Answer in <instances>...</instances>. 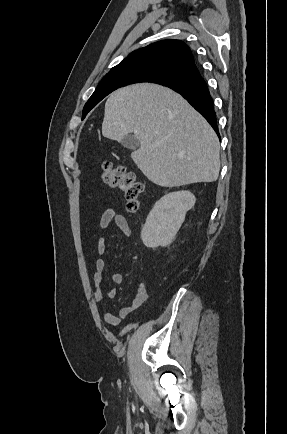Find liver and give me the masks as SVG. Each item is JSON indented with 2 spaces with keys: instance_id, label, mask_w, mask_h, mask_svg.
Segmentation results:
<instances>
[{
  "instance_id": "liver-1",
  "label": "liver",
  "mask_w": 287,
  "mask_h": 434,
  "mask_svg": "<svg viewBox=\"0 0 287 434\" xmlns=\"http://www.w3.org/2000/svg\"><path fill=\"white\" fill-rule=\"evenodd\" d=\"M134 133L140 148L131 157L162 187L216 181L220 144L208 122L178 93L155 84H136L106 101L102 135L121 141Z\"/></svg>"
}]
</instances>
